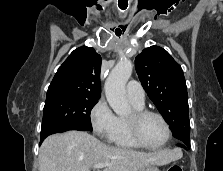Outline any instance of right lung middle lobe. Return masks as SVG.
Returning a JSON list of instances; mask_svg holds the SVG:
<instances>
[{
    "label": "right lung middle lobe",
    "instance_id": "1",
    "mask_svg": "<svg viewBox=\"0 0 223 171\" xmlns=\"http://www.w3.org/2000/svg\"><path fill=\"white\" fill-rule=\"evenodd\" d=\"M99 98L65 95L46 99L41 135L50 128L72 123L92 131L90 113Z\"/></svg>",
    "mask_w": 223,
    "mask_h": 171
}]
</instances>
